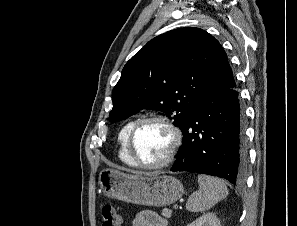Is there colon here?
<instances>
[{
    "label": "colon",
    "mask_w": 297,
    "mask_h": 226,
    "mask_svg": "<svg viewBox=\"0 0 297 226\" xmlns=\"http://www.w3.org/2000/svg\"><path fill=\"white\" fill-rule=\"evenodd\" d=\"M101 226H121V219L111 204H105L101 209Z\"/></svg>",
    "instance_id": "colon-1"
}]
</instances>
